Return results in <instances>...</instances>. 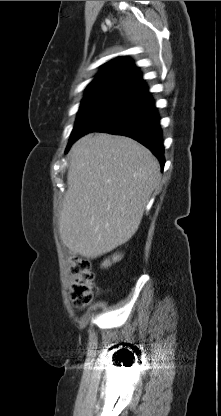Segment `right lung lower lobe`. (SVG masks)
Listing matches in <instances>:
<instances>
[{
    "mask_svg": "<svg viewBox=\"0 0 221 416\" xmlns=\"http://www.w3.org/2000/svg\"><path fill=\"white\" fill-rule=\"evenodd\" d=\"M159 120L155 103L148 90H145L121 101L91 132H107L131 137L149 148L163 168L164 146Z\"/></svg>",
    "mask_w": 221,
    "mask_h": 416,
    "instance_id": "obj_1",
    "label": "right lung lower lobe"
}]
</instances>
